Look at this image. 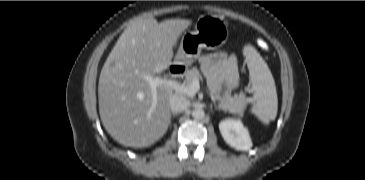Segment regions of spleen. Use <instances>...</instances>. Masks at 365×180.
Listing matches in <instances>:
<instances>
[{
	"label": "spleen",
	"instance_id": "3e777b00",
	"mask_svg": "<svg viewBox=\"0 0 365 180\" xmlns=\"http://www.w3.org/2000/svg\"><path fill=\"white\" fill-rule=\"evenodd\" d=\"M249 69L250 82L254 90L251 112L264 124L274 120L278 110L275 81L269 67L252 46L244 50Z\"/></svg>",
	"mask_w": 365,
	"mask_h": 180
}]
</instances>
